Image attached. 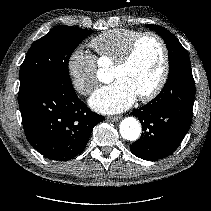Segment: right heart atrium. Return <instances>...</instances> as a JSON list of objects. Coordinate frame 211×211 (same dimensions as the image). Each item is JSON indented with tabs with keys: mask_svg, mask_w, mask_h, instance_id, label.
<instances>
[{
	"mask_svg": "<svg viewBox=\"0 0 211 211\" xmlns=\"http://www.w3.org/2000/svg\"><path fill=\"white\" fill-rule=\"evenodd\" d=\"M66 67L72 86L80 95L88 96L98 86L96 59L83 48L71 51Z\"/></svg>",
	"mask_w": 211,
	"mask_h": 211,
	"instance_id": "1",
	"label": "right heart atrium"
}]
</instances>
